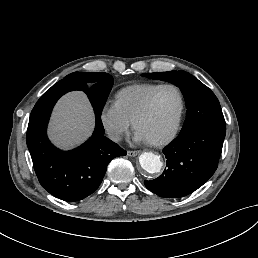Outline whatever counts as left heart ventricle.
<instances>
[{
  "label": "left heart ventricle",
  "mask_w": 258,
  "mask_h": 258,
  "mask_svg": "<svg viewBox=\"0 0 258 258\" xmlns=\"http://www.w3.org/2000/svg\"><path fill=\"white\" fill-rule=\"evenodd\" d=\"M178 111L179 99L176 91L171 88L158 91L147 116L139 125L140 134L155 139L168 136L175 126Z\"/></svg>",
  "instance_id": "b2bd125f"
}]
</instances>
